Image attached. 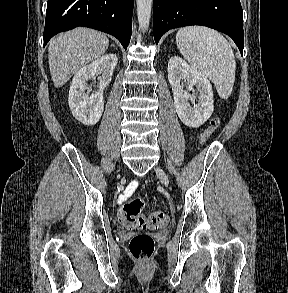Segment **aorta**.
<instances>
[{
    "label": "aorta",
    "instance_id": "762f6f07",
    "mask_svg": "<svg viewBox=\"0 0 288 293\" xmlns=\"http://www.w3.org/2000/svg\"><path fill=\"white\" fill-rule=\"evenodd\" d=\"M139 28L147 31L151 18L152 0H136Z\"/></svg>",
    "mask_w": 288,
    "mask_h": 293
}]
</instances>
